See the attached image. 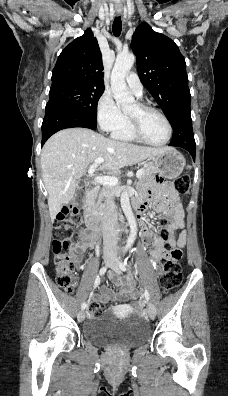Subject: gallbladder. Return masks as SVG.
Instances as JSON below:
<instances>
[{
    "label": "gallbladder",
    "mask_w": 228,
    "mask_h": 396,
    "mask_svg": "<svg viewBox=\"0 0 228 396\" xmlns=\"http://www.w3.org/2000/svg\"><path fill=\"white\" fill-rule=\"evenodd\" d=\"M83 187H84L83 184H78L77 189H78V190H82Z\"/></svg>",
    "instance_id": "obj_1"
}]
</instances>
